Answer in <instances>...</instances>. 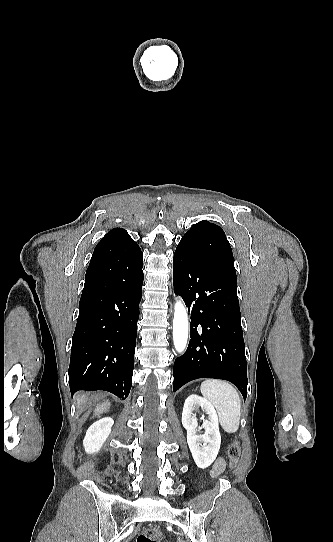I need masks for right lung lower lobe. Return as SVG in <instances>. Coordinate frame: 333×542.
<instances>
[{"mask_svg":"<svg viewBox=\"0 0 333 542\" xmlns=\"http://www.w3.org/2000/svg\"><path fill=\"white\" fill-rule=\"evenodd\" d=\"M143 254L129 241L95 249L85 275L68 370L71 393L105 390L125 399L132 385Z\"/></svg>","mask_w":333,"mask_h":542,"instance_id":"98d812e1","label":"right lung lower lobe"}]
</instances>
